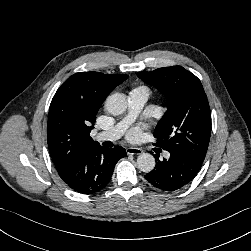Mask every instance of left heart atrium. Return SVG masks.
Masks as SVG:
<instances>
[{"label": "left heart atrium", "mask_w": 251, "mask_h": 251, "mask_svg": "<svg viewBox=\"0 0 251 251\" xmlns=\"http://www.w3.org/2000/svg\"><path fill=\"white\" fill-rule=\"evenodd\" d=\"M141 131H142V126L133 127L129 130L127 138L131 141L136 140L140 137Z\"/></svg>", "instance_id": "obj_1"}]
</instances>
